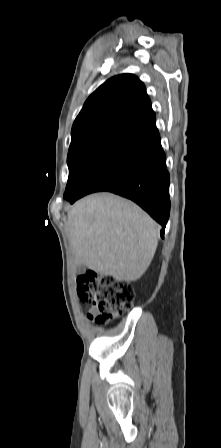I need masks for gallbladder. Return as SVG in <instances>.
<instances>
[{
    "label": "gallbladder",
    "instance_id": "1",
    "mask_svg": "<svg viewBox=\"0 0 221 448\" xmlns=\"http://www.w3.org/2000/svg\"><path fill=\"white\" fill-rule=\"evenodd\" d=\"M84 268H85L84 265H78V266H77V269H78L79 272L83 271Z\"/></svg>",
    "mask_w": 221,
    "mask_h": 448
}]
</instances>
